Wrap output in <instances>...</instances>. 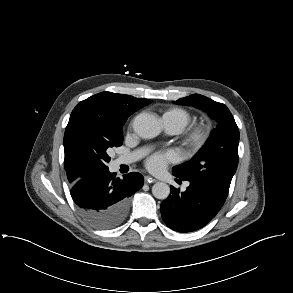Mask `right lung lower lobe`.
I'll list each match as a JSON object with an SVG mask.
<instances>
[{"instance_id": "obj_1", "label": "right lung lower lobe", "mask_w": 293, "mask_h": 293, "mask_svg": "<svg viewBox=\"0 0 293 293\" xmlns=\"http://www.w3.org/2000/svg\"><path fill=\"white\" fill-rule=\"evenodd\" d=\"M143 183V176L137 172L125 174L121 179L108 168L97 169L79 176L71 196L84 218L118 215L124 220L129 210V197L141 189Z\"/></svg>"}]
</instances>
